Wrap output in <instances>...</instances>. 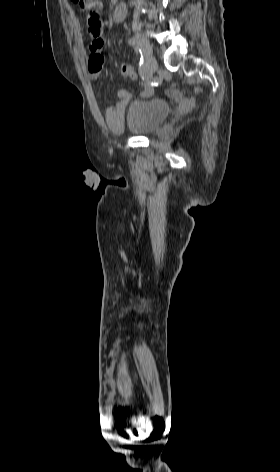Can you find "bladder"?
<instances>
[{"mask_svg":"<svg viewBox=\"0 0 280 472\" xmlns=\"http://www.w3.org/2000/svg\"><path fill=\"white\" fill-rule=\"evenodd\" d=\"M170 113V105L159 98H134L125 109V123L134 135H149L156 132Z\"/></svg>","mask_w":280,"mask_h":472,"instance_id":"bladder-1","label":"bladder"}]
</instances>
